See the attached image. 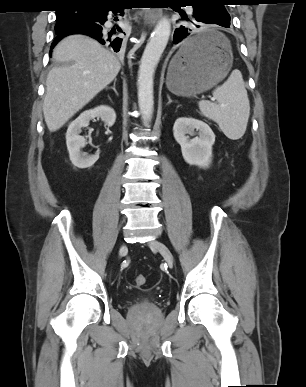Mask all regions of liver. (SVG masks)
<instances>
[{
	"mask_svg": "<svg viewBox=\"0 0 306 387\" xmlns=\"http://www.w3.org/2000/svg\"><path fill=\"white\" fill-rule=\"evenodd\" d=\"M61 65L46 80L43 113L49 131L60 129L118 75L116 56L96 40L76 34L62 39L53 50Z\"/></svg>",
	"mask_w": 306,
	"mask_h": 387,
	"instance_id": "obj_1",
	"label": "liver"
}]
</instances>
